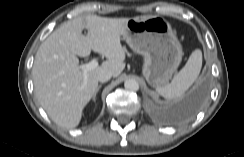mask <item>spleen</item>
<instances>
[{"instance_id": "spleen-1", "label": "spleen", "mask_w": 244, "mask_h": 157, "mask_svg": "<svg viewBox=\"0 0 244 157\" xmlns=\"http://www.w3.org/2000/svg\"><path fill=\"white\" fill-rule=\"evenodd\" d=\"M202 67V52L194 50L185 66L175 75L171 83L156 88V92L167 99L181 97L197 79Z\"/></svg>"}]
</instances>
